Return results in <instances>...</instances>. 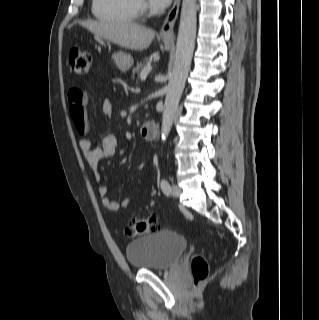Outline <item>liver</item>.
<instances>
[{"instance_id":"6515ba94","label":"liver","mask_w":319,"mask_h":320,"mask_svg":"<svg viewBox=\"0 0 319 320\" xmlns=\"http://www.w3.org/2000/svg\"><path fill=\"white\" fill-rule=\"evenodd\" d=\"M81 26L126 49L140 51L148 48L155 36L151 28L123 21H83Z\"/></svg>"}]
</instances>
